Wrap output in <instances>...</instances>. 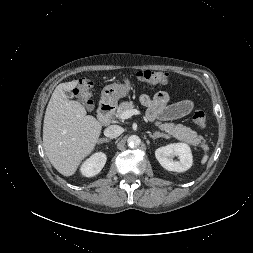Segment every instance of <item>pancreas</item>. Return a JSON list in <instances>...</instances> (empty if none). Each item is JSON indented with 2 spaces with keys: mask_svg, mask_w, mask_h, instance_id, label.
I'll list each match as a JSON object with an SVG mask.
<instances>
[{
  "mask_svg": "<svg viewBox=\"0 0 253 253\" xmlns=\"http://www.w3.org/2000/svg\"><path fill=\"white\" fill-rule=\"evenodd\" d=\"M134 108V104L132 101L122 102L115 112V117L120 119V115L127 110H132ZM155 125L162 131H165L168 135L180 140L187 142L193 146H198L202 142V137L198 136L195 131L191 128L186 127L182 124L175 125L174 123H161L159 121L155 122Z\"/></svg>",
  "mask_w": 253,
  "mask_h": 253,
  "instance_id": "1",
  "label": "pancreas"
}]
</instances>
